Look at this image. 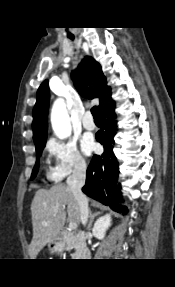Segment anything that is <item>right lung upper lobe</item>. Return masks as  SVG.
<instances>
[{"label": "right lung upper lobe", "mask_w": 175, "mask_h": 287, "mask_svg": "<svg viewBox=\"0 0 175 287\" xmlns=\"http://www.w3.org/2000/svg\"><path fill=\"white\" fill-rule=\"evenodd\" d=\"M74 84L84 98H99L100 113L114 104L111 99V89L106 84V78L101 66L92 58L82 60L78 75L72 73ZM36 104L33 110V139L35 144L46 140L47 137V113L49 103V85L45 80L37 91Z\"/></svg>", "instance_id": "obj_1"}]
</instances>
